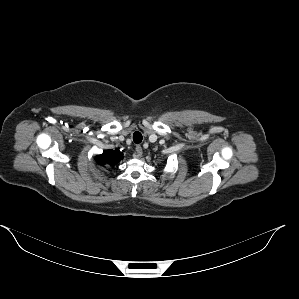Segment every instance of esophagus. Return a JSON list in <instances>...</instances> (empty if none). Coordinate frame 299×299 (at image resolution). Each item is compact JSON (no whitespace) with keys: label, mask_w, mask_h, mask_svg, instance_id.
<instances>
[{"label":"esophagus","mask_w":299,"mask_h":299,"mask_svg":"<svg viewBox=\"0 0 299 299\" xmlns=\"http://www.w3.org/2000/svg\"><path fill=\"white\" fill-rule=\"evenodd\" d=\"M143 153L142 147L140 145H137L135 148L134 157L138 158L141 157Z\"/></svg>","instance_id":"1"}]
</instances>
